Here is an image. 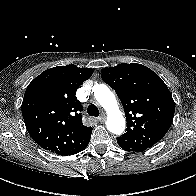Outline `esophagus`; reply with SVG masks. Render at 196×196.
<instances>
[{"label": "esophagus", "instance_id": "1", "mask_svg": "<svg viewBox=\"0 0 196 196\" xmlns=\"http://www.w3.org/2000/svg\"><path fill=\"white\" fill-rule=\"evenodd\" d=\"M97 120L102 123V122H105L106 118L105 116H100L97 118Z\"/></svg>", "mask_w": 196, "mask_h": 196}]
</instances>
